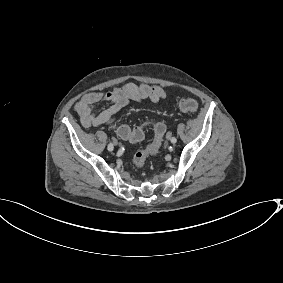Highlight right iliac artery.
<instances>
[{
    "label": "right iliac artery",
    "mask_w": 283,
    "mask_h": 283,
    "mask_svg": "<svg viewBox=\"0 0 283 283\" xmlns=\"http://www.w3.org/2000/svg\"><path fill=\"white\" fill-rule=\"evenodd\" d=\"M108 151H113V144L112 143H110L109 145H108Z\"/></svg>",
    "instance_id": "82829eb1"
}]
</instances>
